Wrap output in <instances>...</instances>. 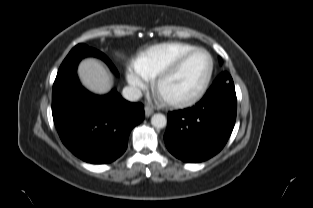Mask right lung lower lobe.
<instances>
[{"label": "right lung lower lobe", "mask_w": 313, "mask_h": 208, "mask_svg": "<svg viewBox=\"0 0 313 208\" xmlns=\"http://www.w3.org/2000/svg\"><path fill=\"white\" fill-rule=\"evenodd\" d=\"M86 56L104 60L100 51L85 46L68 55L59 68L52 91V114L64 145L77 157L93 164L109 163L126 150L132 128L144 119L143 105L124 100L115 90L94 95L79 83L76 68Z\"/></svg>", "instance_id": "obj_1"}]
</instances>
